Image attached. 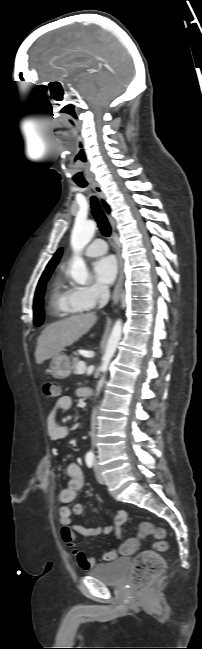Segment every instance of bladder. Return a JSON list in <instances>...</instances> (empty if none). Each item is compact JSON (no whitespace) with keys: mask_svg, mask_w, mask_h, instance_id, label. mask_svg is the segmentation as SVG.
<instances>
[{"mask_svg":"<svg viewBox=\"0 0 202 649\" xmlns=\"http://www.w3.org/2000/svg\"><path fill=\"white\" fill-rule=\"evenodd\" d=\"M130 560L128 558H119L110 563L99 564L92 567L89 576L108 585H117L125 577Z\"/></svg>","mask_w":202,"mask_h":649,"instance_id":"31cf9c89","label":"bladder"}]
</instances>
